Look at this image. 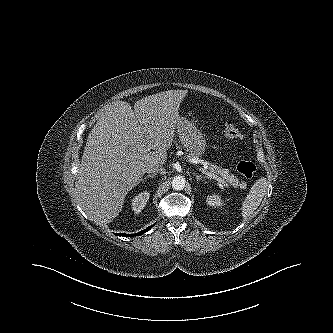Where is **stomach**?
<instances>
[{
  "mask_svg": "<svg viewBox=\"0 0 333 333\" xmlns=\"http://www.w3.org/2000/svg\"><path fill=\"white\" fill-rule=\"evenodd\" d=\"M176 129L183 148L187 152L201 157L205 152L206 142L194 123L185 117H181L176 124Z\"/></svg>",
  "mask_w": 333,
  "mask_h": 333,
  "instance_id": "obj_1",
  "label": "stomach"
}]
</instances>
